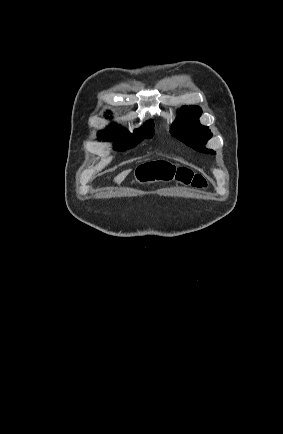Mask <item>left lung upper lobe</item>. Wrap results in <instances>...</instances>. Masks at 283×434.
I'll return each mask as SVG.
<instances>
[{
  "mask_svg": "<svg viewBox=\"0 0 283 434\" xmlns=\"http://www.w3.org/2000/svg\"><path fill=\"white\" fill-rule=\"evenodd\" d=\"M201 113L197 106L182 107L178 112V119L171 126V134L197 151L215 154L213 150L204 147L212 134L207 126L199 123Z\"/></svg>",
  "mask_w": 283,
  "mask_h": 434,
  "instance_id": "obj_1",
  "label": "left lung upper lobe"
}]
</instances>
